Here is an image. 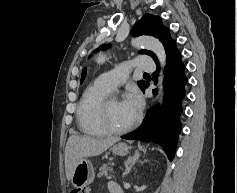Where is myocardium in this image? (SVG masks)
Instances as JSON below:
<instances>
[{"mask_svg": "<svg viewBox=\"0 0 237 193\" xmlns=\"http://www.w3.org/2000/svg\"><path fill=\"white\" fill-rule=\"evenodd\" d=\"M116 101H119L118 96L110 93L109 95H107L101 100L97 109V122L99 126L102 128V130L105 133L111 134V135H121V134L127 133L136 124V121L134 120L132 123H130L126 127L117 129V128L112 127L108 123L107 121L108 107L112 102H116Z\"/></svg>", "mask_w": 237, "mask_h": 193, "instance_id": "f54148a6", "label": "myocardium"}]
</instances>
